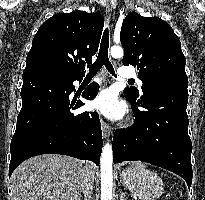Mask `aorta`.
I'll list each match as a JSON object with an SVG mask.
<instances>
[{"instance_id":"1","label":"aorta","mask_w":205,"mask_h":200,"mask_svg":"<svg viewBox=\"0 0 205 200\" xmlns=\"http://www.w3.org/2000/svg\"><path fill=\"white\" fill-rule=\"evenodd\" d=\"M111 56L121 58L124 54L120 46L111 48ZM113 151L112 146L106 143L103 146L100 169H101V200H112V185H113Z\"/></svg>"}]
</instances>
